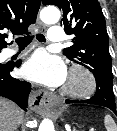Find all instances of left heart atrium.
<instances>
[{"instance_id": "39dd6f15", "label": "left heart atrium", "mask_w": 117, "mask_h": 131, "mask_svg": "<svg viewBox=\"0 0 117 131\" xmlns=\"http://www.w3.org/2000/svg\"><path fill=\"white\" fill-rule=\"evenodd\" d=\"M22 74L29 80L51 87L63 84L67 78L61 59L43 50L37 51L25 62Z\"/></svg>"}]
</instances>
